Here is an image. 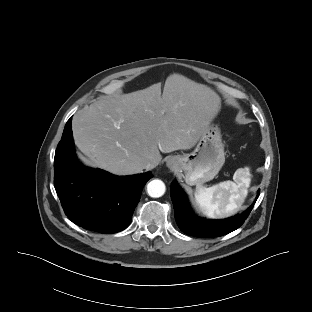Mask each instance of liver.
<instances>
[{"label":"liver","instance_id":"1","mask_svg":"<svg viewBox=\"0 0 312 312\" xmlns=\"http://www.w3.org/2000/svg\"><path fill=\"white\" fill-rule=\"evenodd\" d=\"M221 109L209 87L179 75L161 84L101 98L72 120L74 142L85 165L115 175L141 173L148 160L159 164L162 153L195 146Z\"/></svg>","mask_w":312,"mask_h":312}]
</instances>
